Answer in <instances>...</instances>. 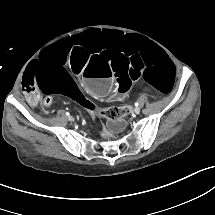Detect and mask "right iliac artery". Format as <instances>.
<instances>
[{"label": "right iliac artery", "mask_w": 215, "mask_h": 215, "mask_svg": "<svg viewBox=\"0 0 215 215\" xmlns=\"http://www.w3.org/2000/svg\"><path fill=\"white\" fill-rule=\"evenodd\" d=\"M66 115H67V116H70L69 112H66Z\"/></svg>", "instance_id": "obj_1"}]
</instances>
